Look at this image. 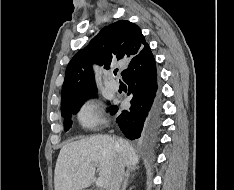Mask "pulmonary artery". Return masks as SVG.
<instances>
[{
	"label": "pulmonary artery",
	"mask_w": 234,
	"mask_h": 190,
	"mask_svg": "<svg viewBox=\"0 0 234 190\" xmlns=\"http://www.w3.org/2000/svg\"><path fill=\"white\" fill-rule=\"evenodd\" d=\"M106 86L111 90V91H117L119 88V84L114 81H109L106 83Z\"/></svg>",
	"instance_id": "1"
}]
</instances>
